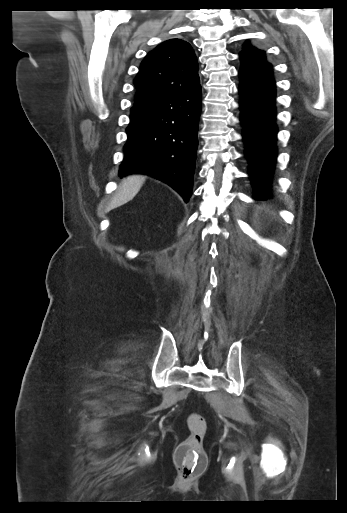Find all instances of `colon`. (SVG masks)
I'll return each mask as SVG.
<instances>
[{
	"label": "colon",
	"mask_w": 347,
	"mask_h": 513,
	"mask_svg": "<svg viewBox=\"0 0 347 513\" xmlns=\"http://www.w3.org/2000/svg\"><path fill=\"white\" fill-rule=\"evenodd\" d=\"M189 436L180 445L177 453V468L186 478L193 479L199 476L206 467V454L203 441L206 433L205 419L192 413L187 417Z\"/></svg>",
	"instance_id": "colon-1"
}]
</instances>
